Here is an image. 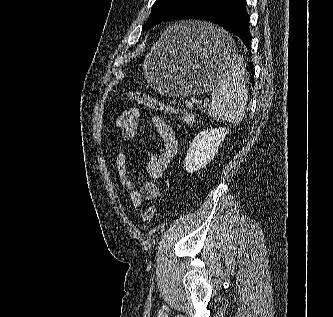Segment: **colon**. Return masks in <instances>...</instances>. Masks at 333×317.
<instances>
[{"label":"colon","mask_w":333,"mask_h":317,"mask_svg":"<svg viewBox=\"0 0 333 317\" xmlns=\"http://www.w3.org/2000/svg\"><path fill=\"white\" fill-rule=\"evenodd\" d=\"M125 96L128 99H130L138 104H141L143 106L149 107L153 110L180 116L184 120V122L187 124H191L193 122V117L189 112L176 108V107H173V106H170V105H167V104H164V103L156 100L155 98L150 97L149 95H147L145 93L134 91V92L126 93ZM156 209H157V207L155 205L148 207L143 212V216H142L143 221L146 223H149L153 219Z\"/></svg>","instance_id":"1"}]
</instances>
